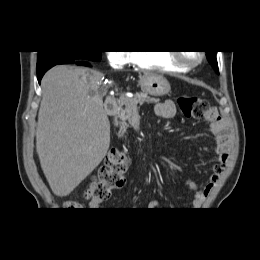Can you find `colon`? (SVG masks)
I'll return each instance as SVG.
<instances>
[{"mask_svg":"<svg viewBox=\"0 0 260 260\" xmlns=\"http://www.w3.org/2000/svg\"><path fill=\"white\" fill-rule=\"evenodd\" d=\"M178 106L186 117L204 118L215 116L216 110L202 98L181 96L177 99ZM128 169V159L120 152L110 153L101 171L87 186L84 196L86 199H107L112 190L119 189L125 184V173ZM64 207L69 210H82V205L76 201H66Z\"/></svg>","mask_w":260,"mask_h":260,"instance_id":"obj_1","label":"colon"}]
</instances>
